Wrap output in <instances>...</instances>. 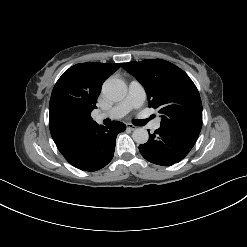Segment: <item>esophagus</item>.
Wrapping results in <instances>:
<instances>
[{"mask_svg": "<svg viewBox=\"0 0 247 247\" xmlns=\"http://www.w3.org/2000/svg\"><path fill=\"white\" fill-rule=\"evenodd\" d=\"M127 128L130 129V130H135L137 127L131 123H127L126 124Z\"/></svg>", "mask_w": 247, "mask_h": 247, "instance_id": "1", "label": "esophagus"}]
</instances>
